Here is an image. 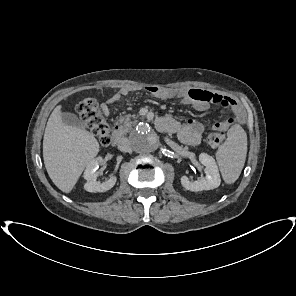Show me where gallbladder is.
Returning a JSON list of instances; mask_svg holds the SVG:
<instances>
[{
    "label": "gallbladder",
    "instance_id": "obj_1",
    "mask_svg": "<svg viewBox=\"0 0 296 296\" xmlns=\"http://www.w3.org/2000/svg\"><path fill=\"white\" fill-rule=\"evenodd\" d=\"M62 121L69 126L83 128L85 123L81 121L75 114L70 112L62 113Z\"/></svg>",
    "mask_w": 296,
    "mask_h": 296
}]
</instances>
